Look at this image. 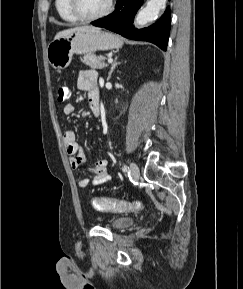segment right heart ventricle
I'll use <instances>...</instances> for the list:
<instances>
[{
    "label": "right heart ventricle",
    "instance_id": "e07e8e85",
    "mask_svg": "<svg viewBox=\"0 0 243 289\" xmlns=\"http://www.w3.org/2000/svg\"><path fill=\"white\" fill-rule=\"evenodd\" d=\"M55 7L60 18L66 22L75 23L79 21L70 11L68 0H55Z\"/></svg>",
    "mask_w": 243,
    "mask_h": 289
}]
</instances>
